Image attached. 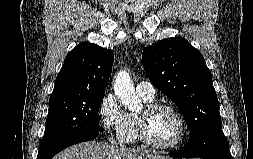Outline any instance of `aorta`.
<instances>
[{"instance_id":"obj_1","label":"aorta","mask_w":253,"mask_h":159,"mask_svg":"<svg viewBox=\"0 0 253 159\" xmlns=\"http://www.w3.org/2000/svg\"><path fill=\"white\" fill-rule=\"evenodd\" d=\"M114 92L120 102L130 111H139L142 102L135 93L132 79L126 70L118 72L114 81Z\"/></svg>"}]
</instances>
